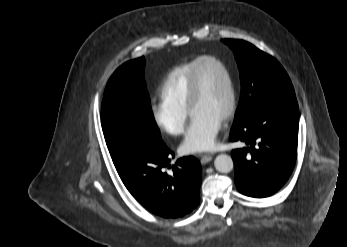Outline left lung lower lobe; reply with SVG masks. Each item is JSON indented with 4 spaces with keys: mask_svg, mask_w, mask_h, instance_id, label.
<instances>
[{
    "mask_svg": "<svg viewBox=\"0 0 347 247\" xmlns=\"http://www.w3.org/2000/svg\"><path fill=\"white\" fill-rule=\"evenodd\" d=\"M298 122L296 97L276 96L233 124L230 140L245 144L231 153L239 192L262 198L286 183L297 157Z\"/></svg>",
    "mask_w": 347,
    "mask_h": 247,
    "instance_id": "left-lung-lower-lobe-1",
    "label": "left lung lower lobe"
}]
</instances>
